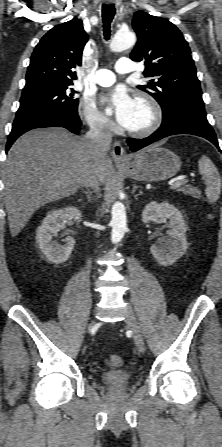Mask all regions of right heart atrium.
Instances as JSON below:
<instances>
[{"label": "right heart atrium", "mask_w": 222, "mask_h": 447, "mask_svg": "<svg viewBox=\"0 0 222 447\" xmlns=\"http://www.w3.org/2000/svg\"><path fill=\"white\" fill-rule=\"evenodd\" d=\"M78 114L86 125L98 132L109 133L114 129L113 123L89 103L82 104Z\"/></svg>", "instance_id": "right-heart-atrium-1"}]
</instances>
